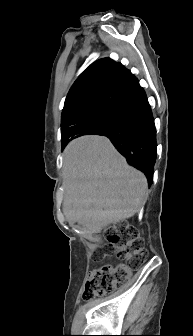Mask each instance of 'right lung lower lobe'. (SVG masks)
<instances>
[{
	"label": "right lung lower lobe",
	"instance_id": "obj_1",
	"mask_svg": "<svg viewBox=\"0 0 193 336\" xmlns=\"http://www.w3.org/2000/svg\"><path fill=\"white\" fill-rule=\"evenodd\" d=\"M97 134L108 137L130 165L144 172L149 186L152 184L156 129L146 94L136 78L117 100Z\"/></svg>",
	"mask_w": 193,
	"mask_h": 336
}]
</instances>
